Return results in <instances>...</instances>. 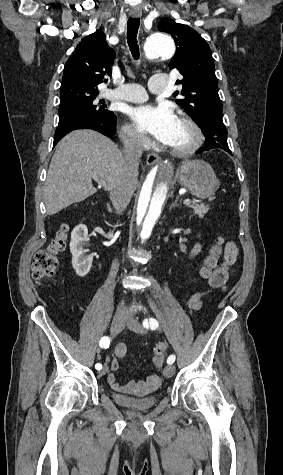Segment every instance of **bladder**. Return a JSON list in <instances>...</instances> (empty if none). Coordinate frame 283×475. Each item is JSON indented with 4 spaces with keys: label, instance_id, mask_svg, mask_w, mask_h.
<instances>
[{
    "label": "bladder",
    "instance_id": "obj_1",
    "mask_svg": "<svg viewBox=\"0 0 283 475\" xmlns=\"http://www.w3.org/2000/svg\"><path fill=\"white\" fill-rule=\"evenodd\" d=\"M112 400L126 410L131 411H149L157 405L159 396L128 397L119 393L112 395Z\"/></svg>",
    "mask_w": 283,
    "mask_h": 475
}]
</instances>
